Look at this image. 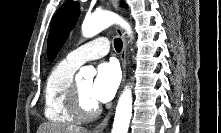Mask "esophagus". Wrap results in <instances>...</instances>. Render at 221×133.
<instances>
[{"label":"esophagus","mask_w":221,"mask_h":133,"mask_svg":"<svg viewBox=\"0 0 221 133\" xmlns=\"http://www.w3.org/2000/svg\"><path fill=\"white\" fill-rule=\"evenodd\" d=\"M111 3L114 8L118 9V1L112 0ZM117 33L121 37L122 43H123V47H122V51H121V65H122V73H123L122 86H123L125 79H126V48H127V44H126V38H125V34H124L123 30L121 28H117ZM112 113H113V109L106 115V117L101 121V123H99L93 129L92 132L93 133H103L104 129L106 128V126L110 120Z\"/></svg>","instance_id":"1"}]
</instances>
